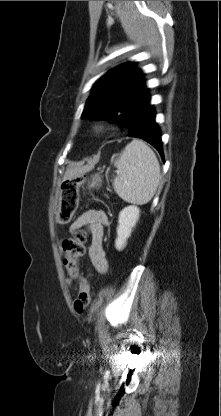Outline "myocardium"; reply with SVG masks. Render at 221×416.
Wrapping results in <instances>:
<instances>
[{
	"instance_id": "f54148a6",
	"label": "myocardium",
	"mask_w": 221,
	"mask_h": 416,
	"mask_svg": "<svg viewBox=\"0 0 221 416\" xmlns=\"http://www.w3.org/2000/svg\"><path fill=\"white\" fill-rule=\"evenodd\" d=\"M97 129H98V130H102V129H103V126H102V125H98V126H97Z\"/></svg>"
}]
</instances>
